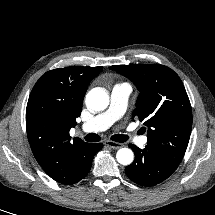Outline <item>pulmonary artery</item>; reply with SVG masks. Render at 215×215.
Wrapping results in <instances>:
<instances>
[{
	"label": "pulmonary artery",
	"instance_id": "e3ab8cb5",
	"mask_svg": "<svg viewBox=\"0 0 215 215\" xmlns=\"http://www.w3.org/2000/svg\"><path fill=\"white\" fill-rule=\"evenodd\" d=\"M131 90L128 84L115 85L111 91L109 108L88 122H85L81 126V130L89 133L104 131L109 128L123 116ZM137 143L145 145L147 143V137L143 136L138 138Z\"/></svg>",
	"mask_w": 215,
	"mask_h": 215
}]
</instances>
